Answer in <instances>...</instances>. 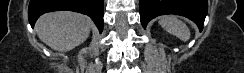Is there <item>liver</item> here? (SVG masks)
Wrapping results in <instances>:
<instances>
[{"mask_svg":"<svg viewBox=\"0 0 244 73\" xmlns=\"http://www.w3.org/2000/svg\"><path fill=\"white\" fill-rule=\"evenodd\" d=\"M92 21L71 11L42 15L36 22V32L46 45L56 51H70L89 37Z\"/></svg>","mask_w":244,"mask_h":73,"instance_id":"1","label":"liver"}]
</instances>
